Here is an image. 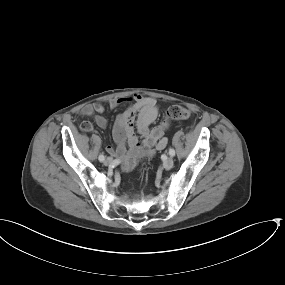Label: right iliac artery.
I'll return each mask as SVG.
<instances>
[{"mask_svg":"<svg viewBox=\"0 0 285 285\" xmlns=\"http://www.w3.org/2000/svg\"><path fill=\"white\" fill-rule=\"evenodd\" d=\"M104 159H105L104 155H103V154H100V155H99V161L103 162Z\"/></svg>","mask_w":285,"mask_h":285,"instance_id":"right-iliac-artery-1","label":"right iliac artery"}]
</instances>
